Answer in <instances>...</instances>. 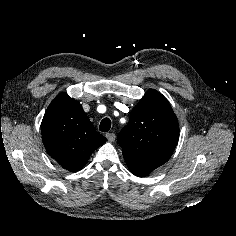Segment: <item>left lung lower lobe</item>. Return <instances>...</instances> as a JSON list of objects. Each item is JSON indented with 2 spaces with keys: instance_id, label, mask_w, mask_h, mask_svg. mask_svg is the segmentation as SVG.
Wrapping results in <instances>:
<instances>
[{
  "instance_id": "left-lung-lower-lobe-1",
  "label": "left lung lower lobe",
  "mask_w": 236,
  "mask_h": 236,
  "mask_svg": "<svg viewBox=\"0 0 236 236\" xmlns=\"http://www.w3.org/2000/svg\"><path fill=\"white\" fill-rule=\"evenodd\" d=\"M130 172L138 177H143L158 168L157 166L136 161L134 159L124 158Z\"/></svg>"
}]
</instances>
